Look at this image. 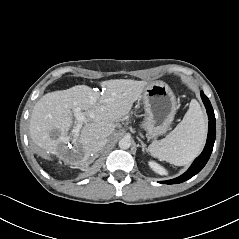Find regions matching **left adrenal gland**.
I'll list each match as a JSON object with an SVG mask.
<instances>
[{
    "label": "left adrenal gland",
    "mask_w": 239,
    "mask_h": 239,
    "mask_svg": "<svg viewBox=\"0 0 239 239\" xmlns=\"http://www.w3.org/2000/svg\"><path fill=\"white\" fill-rule=\"evenodd\" d=\"M138 140H139V142L141 143L142 151H143V152H148V150H147L146 145L144 144V142H143L140 138H138Z\"/></svg>",
    "instance_id": "1"
}]
</instances>
